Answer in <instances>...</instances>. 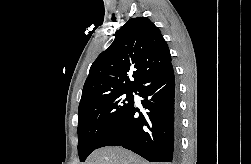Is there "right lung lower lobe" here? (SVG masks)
I'll return each instance as SVG.
<instances>
[{
	"instance_id": "obj_1",
	"label": "right lung lower lobe",
	"mask_w": 251,
	"mask_h": 164,
	"mask_svg": "<svg viewBox=\"0 0 251 164\" xmlns=\"http://www.w3.org/2000/svg\"><path fill=\"white\" fill-rule=\"evenodd\" d=\"M143 98L141 113L134 105L103 138L98 148L122 146L150 162L177 163L179 120L175 107V79L172 64L149 74L136 93ZM139 112V116L136 113Z\"/></svg>"
}]
</instances>
